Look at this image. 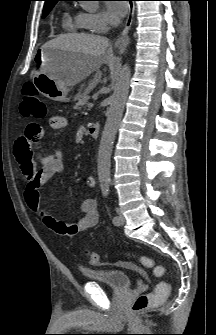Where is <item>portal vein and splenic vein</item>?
I'll return each instance as SVG.
<instances>
[{"instance_id": "18ae733b", "label": "portal vein and splenic vein", "mask_w": 216, "mask_h": 335, "mask_svg": "<svg viewBox=\"0 0 216 335\" xmlns=\"http://www.w3.org/2000/svg\"><path fill=\"white\" fill-rule=\"evenodd\" d=\"M88 107H89V108H92V107H93V103H89V104H88Z\"/></svg>"}]
</instances>
